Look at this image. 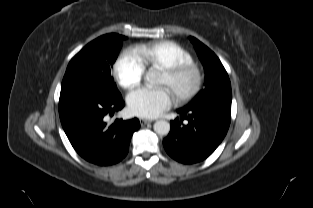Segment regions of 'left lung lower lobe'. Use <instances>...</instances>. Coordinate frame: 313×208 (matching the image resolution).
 Masks as SVG:
<instances>
[{
    "label": "left lung lower lobe",
    "mask_w": 313,
    "mask_h": 208,
    "mask_svg": "<svg viewBox=\"0 0 313 208\" xmlns=\"http://www.w3.org/2000/svg\"><path fill=\"white\" fill-rule=\"evenodd\" d=\"M179 119L171 121L169 135L163 140L166 152L175 160L192 164L209 157L224 139L231 120V105L205 103L177 111Z\"/></svg>",
    "instance_id": "obj_1"
}]
</instances>
